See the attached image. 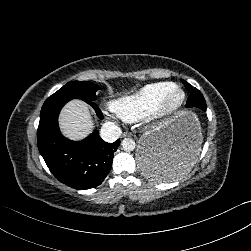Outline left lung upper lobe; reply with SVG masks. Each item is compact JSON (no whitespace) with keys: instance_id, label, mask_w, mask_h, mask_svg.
<instances>
[{"instance_id":"left-lung-upper-lobe-1","label":"left lung upper lobe","mask_w":251,"mask_h":251,"mask_svg":"<svg viewBox=\"0 0 251 251\" xmlns=\"http://www.w3.org/2000/svg\"><path fill=\"white\" fill-rule=\"evenodd\" d=\"M182 82L184 83L186 89L190 92V96L188 97L187 102H198L199 104L206 106V102L202 93L198 89L190 85L188 82L184 80H182Z\"/></svg>"}]
</instances>
